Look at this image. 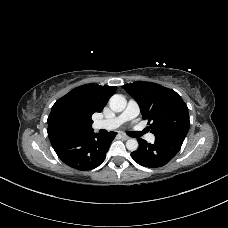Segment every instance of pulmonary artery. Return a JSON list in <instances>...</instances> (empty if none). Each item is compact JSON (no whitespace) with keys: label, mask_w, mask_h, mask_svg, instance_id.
<instances>
[{"label":"pulmonary artery","mask_w":228,"mask_h":228,"mask_svg":"<svg viewBox=\"0 0 228 228\" xmlns=\"http://www.w3.org/2000/svg\"><path fill=\"white\" fill-rule=\"evenodd\" d=\"M140 113L138 103L134 99H130L127 103L125 110L118 116L111 119L98 120L94 123L95 129H115L126 121L135 119ZM147 140L150 142L154 141V135L149 134Z\"/></svg>","instance_id":"e3ab8cb5"}]
</instances>
